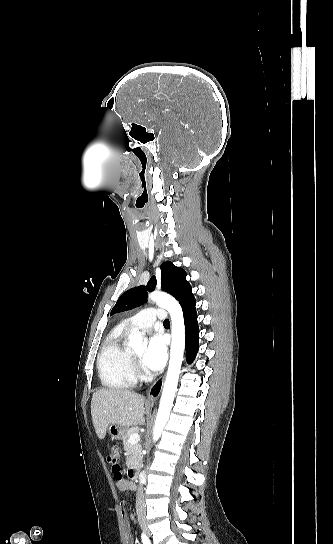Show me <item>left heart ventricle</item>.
Wrapping results in <instances>:
<instances>
[{"label":"left heart ventricle","mask_w":333,"mask_h":544,"mask_svg":"<svg viewBox=\"0 0 333 544\" xmlns=\"http://www.w3.org/2000/svg\"><path fill=\"white\" fill-rule=\"evenodd\" d=\"M144 351L143 350H139V351H136L135 354L138 356V357H141L143 355Z\"/></svg>","instance_id":"1"}]
</instances>
